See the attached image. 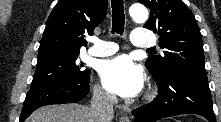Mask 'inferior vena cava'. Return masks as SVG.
Here are the masks:
<instances>
[{
  "label": "inferior vena cava",
  "mask_w": 221,
  "mask_h": 122,
  "mask_svg": "<svg viewBox=\"0 0 221 122\" xmlns=\"http://www.w3.org/2000/svg\"><path fill=\"white\" fill-rule=\"evenodd\" d=\"M116 96L103 89L95 88L91 100L93 122H110L114 117L113 104Z\"/></svg>",
  "instance_id": "inferior-vena-cava-1"
}]
</instances>
